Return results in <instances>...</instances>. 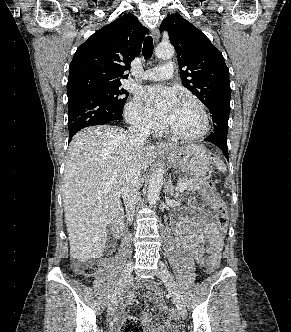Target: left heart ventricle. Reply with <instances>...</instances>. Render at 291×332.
<instances>
[{
	"label": "left heart ventricle",
	"mask_w": 291,
	"mask_h": 332,
	"mask_svg": "<svg viewBox=\"0 0 291 332\" xmlns=\"http://www.w3.org/2000/svg\"><path fill=\"white\" fill-rule=\"evenodd\" d=\"M167 124L177 132L195 134L202 129L203 119L196 105L179 100Z\"/></svg>",
	"instance_id": "obj_1"
}]
</instances>
